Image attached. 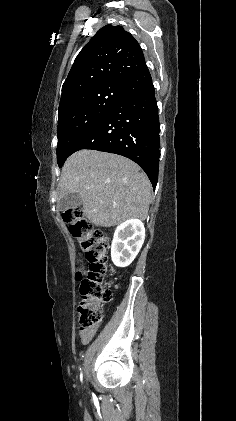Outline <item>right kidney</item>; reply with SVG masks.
Returning a JSON list of instances; mask_svg holds the SVG:
<instances>
[{"mask_svg":"<svg viewBox=\"0 0 236 421\" xmlns=\"http://www.w3.org/2000/svg\"><path fill=\"white\" fill-rule=\"evenodd\" d=\"M145 239V227L139 219H129L117 227L112 245L111 259L116 267H128L138 255Z\"/></svg>","mask_w":236,"mask_h":421,"instance_id":"ca27d5eb","label":"right kidney"}]
</instances>
